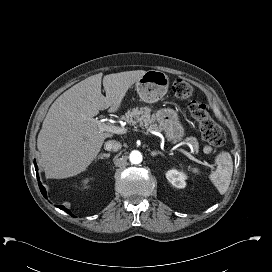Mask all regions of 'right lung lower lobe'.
Segmentation results:
<instances>
[{
  "mask_svg": "<svg viewBox=\"0 0 272 272\" xmlns=\"http://www.w3.org/2000/svg\"><path fill=\"white\" fill-rule=\"evenodd\" d=\"M34 164H35V169H36V171H37V170H38V167H37L35 161H34ZM37 179H38V184H39V186H40L41 193H42L43 196L46 198V196H47V195H46V190H45V188L41 185V182L39 181L38 173H37ZM59 208H60L61 210L66 211L68 214L71 215V212H70L68 209H66L64 206H59ZM72 216L74 217V215H72Z\"/></svg>",
  "mask_w": 272,
  "mask_h": 272,
  "instance_id": "98d812e1",
  "label": "right lung lower lobe"
}]
</instances>
